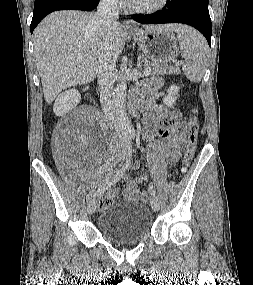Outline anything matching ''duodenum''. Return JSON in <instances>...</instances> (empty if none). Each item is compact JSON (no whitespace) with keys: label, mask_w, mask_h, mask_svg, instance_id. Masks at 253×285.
I'll return each mask as SVG.
<instances>
[{"label":"duodenum","mask_w":253,"mask_h":285,"mask_svg":"<svg viewBox=\"0 0 253 285\" xmlns=\"http://www.w3.org/2000/svg\"><path fill=\"white\" fill-rule=\"evenodd\" d=\"M132 108H133V109L136 108V100H135V99L132 100Z\"/></svg>","instance_id":"1"}]
</instances>
